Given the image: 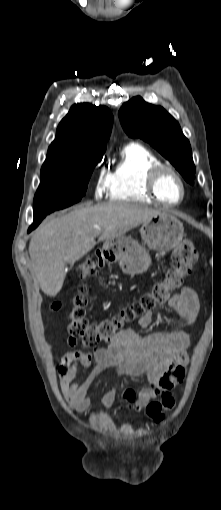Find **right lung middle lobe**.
I'll use <instances>...</instances> for the list:
<instances>
[{"mask_svg":"<svg viewBox=\"0 0 221 510\" xmlns=\"http://www.w3.org/2000/svg\"><path fill=\"white\" fill-rule=\"evenodd\" d=\"M105 149L45 160L41 182L34 197L36 215L49 214L71 206L86 194L94 167Z\"/></svg>","mask_w":221,"mask_h":510,"instance_id":"1","label":"right lung middle lobe"}]
</instances>
